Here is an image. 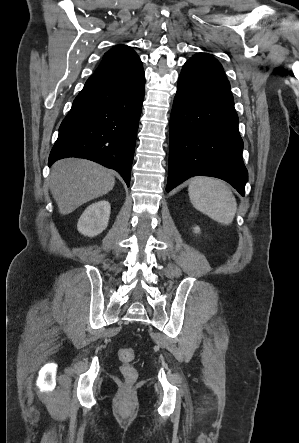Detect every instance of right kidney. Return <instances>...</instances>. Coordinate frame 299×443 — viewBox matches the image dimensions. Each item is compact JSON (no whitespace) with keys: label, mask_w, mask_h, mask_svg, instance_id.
I'll list each match as a JSON object with an SVG mask.
<instances>
[{"label":"right kidney","mask_w":299,"mask_h":443,"mask_svg":"<svg viewBox=\"0 0 299 443\" xmlns=\"http://www.w3.org/2000/svg\"><path fill=\"white\" fill-rule=\"evenodd\" d=\"M110 210V203L105 200L91 204L78 220V231L84 236H97L107 227Z\"/></svg>","instance_id":"1"}]
</instances>
